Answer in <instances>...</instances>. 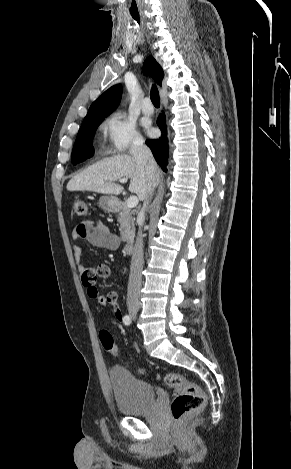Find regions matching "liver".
Returning a JSON list of instances; mask_svg holds the SVG:
<instances>
[{"label":"liver","mask_w":291,"mask_h":469,"mask_svg":"<svg viewBox=\"0 0 291 469\" xmlns=\"http://www.w3.org/2000/svg\"><path fill=\"white\" fill-rule=\"evenodd\" d=\"M129 178V191L144 201L148 193L155 189L159 170L148 176L145 166L131 155H117L105 158L74 176L67 184L68 191H93L119 195L123 187L114 181Z\"/></svg>","instance_id":"1"}]
</instances>
